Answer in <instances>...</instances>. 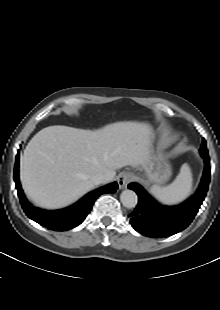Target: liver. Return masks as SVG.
Returning a JSON list of instances; mask_svg holds the SVG:
<instances>
[{
    "label": "liver",
    "mask_w": 220,
    "mask_h": 310,
    "mask_svg": "<svg viewBox=\"0 0 220 310\" xmlns=\"http://www.w3.org/2000/svg\"><path fill=\"white\" fill-rule=\"evenodd\" d=\"M153 129L143 122H116L91 131L49 126L28 143L20 163L27 196L47 209L65 207L94 188L98 173L114 179L125 166L142 167L150 159Z\"/></svg>",
    "instance_id": "1"
}]
</instances>
